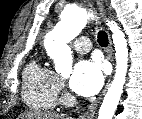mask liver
Wrapping results in <instances>:
<instances>
[{"mask_svg":"<svg viewBox=\"0 0 142 119\" xmlns=\"http://www.w3.org/2000/svg\"><path fill=\"white\" fill-rule=\"evenodd\" d=\"M21 119H69L64 115H58L49 112L30 111L20 116Z\"/></svg>","mask_w":142,"mask_h":119,"instance_id":"1","label":"liver"}]
</instances>
